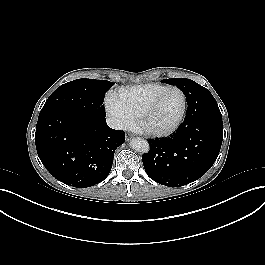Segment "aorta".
Wrapping results in <instances>:
<instances>
[{
	"label": "aorta",
	"mask_w": 265,
	"mask_h": 265,
	"mask_svg": "<svg viewBox=\"0 0 265 265\" xmlns=\"http://www.w3.org/2000/svg\"><path fill=\"white\" fill-rule=\"evenodd\" d=\"M130 147L140 153H148L150 150L149 143L142 138H133L130 141Z\"/></svg>",
	"instance_id": "1"
}]
</instances>
